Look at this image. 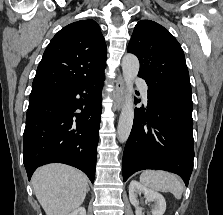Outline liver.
<instances>
[{"label": "liver", "mask_w": 223, "mask_h": 215, "mask_svg": "<svg viewBox=\"0 0 223 215\" xmlns=\"http://www.w3.org/2000/svg\"><path fill=\"white\" fill-rule=\"evenodd\" d=\"M36 197L46 215H67L81 205L87 193V177L70 165L48 163L32 175Z\"/></svg>", "instance_id": "obj_1"}]
</instances>
